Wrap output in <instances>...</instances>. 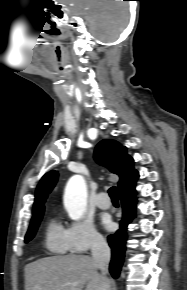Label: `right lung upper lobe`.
<instances>
[{"label": "right lung upper lobe", "instance_id": "right-lung-upper-lobe-1", "mask_svg": "<svg viewBox=\"0 0 187 290\" xmlns=\"http://www.w3.org/2000/svg\"><path fill=\"white\" fill-rule=\"evenodd\" d=\"M126 147L115 140L104 139L95 149V160L107 167L112 173L120 177L118 182L119 196H133L136 194L135 184L139 178L138 172L134 169V160L126 153ZM58 173L50 171L45 174L37 186L35 202L33 206V218H37L44 212V202L48 193L57 181Z\"/></svg>", "mask_w": 187, "mask_h": 290}]
</instances>
